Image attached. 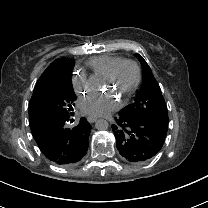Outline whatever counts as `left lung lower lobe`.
I'll list each match as a JSON object with an SVG mask.
<instances>
[{
	"instance_id": "left-lung-lower-lobe-1",
	"label": "left lung lower lobe",
	"mask_w": 208,
	"mask_h": 208,
	"mask_svg": "<svg viewBox=\"0 0 208 208\" xmlns=\"http://www.w3.org/2000/svg\"><path fill=\"white\" fill-rule=\"evenodd\" d=\"M112 128L120 155L133 163L153 158L162 148L168 129L155 120L122 111Z\"/></svg>"
}]
</instances>
